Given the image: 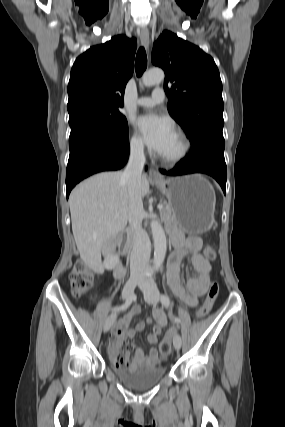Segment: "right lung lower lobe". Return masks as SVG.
Listing matches in <instances>:
<instances>
[{"label": "right lung lower lobe", "instance_id": "obj_1", "mask_svg": "<svg viewBox=\"0 0 285 427\" xmlns=\"http://www.w3.org/2000/svg\"><path fill=\"white\" fill-rule=\"evenodd\" d=\"M128 158V139L115 143L100 136L82 138L70 148L66 171L67 198L72 188L84 178L101 171L121 169Z\"/></svg>", "mask_w": 285, "mask_h": 427}]
</instances>
